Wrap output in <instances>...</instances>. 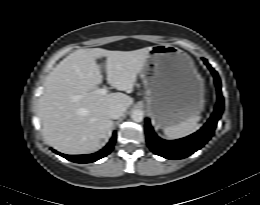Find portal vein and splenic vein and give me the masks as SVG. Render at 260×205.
<instances>
[{"label":"portal vein and splenic vein","mask_w":260,"mask_h":205,"mask_svg":"<svg viewBox=\"0 0 260 205\" xmlns=\"http://www.w3.org/2000/svg\"><path fill=\"white\" fill-rule=\"evenodd\" d=\"M96 93H97V94H100V95H105V94L108 93V89H107V87H103V88L98 89V90L96 91ZM81 98H82V96H80V95L74 97L75 100H79V99H81Z\"/></svg>","instance_id":"18ae733b"}]
</instances>
